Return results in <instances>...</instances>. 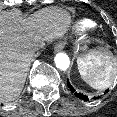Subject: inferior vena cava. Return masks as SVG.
Instances as JSON below:
<instances>
[{
    "label": "inferior vena cava",
    "mask_w": 117,
    "mask_h": 117,
    "mask_svg": "<svg viewBox=\"0 0 117 117\" xmlns=\"http://www.w3.org/2000/svg\"><path fill=\"white\" fill-rule=\"evenodd\" d=\"M39 50H40L39 47L35 45V46L31 47L29 51L31 54L35 55L39 52Z\"/></svg>",
    "instance_id": "inferior-vena-cava-1"
}]
</instances>
